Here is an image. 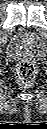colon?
<instances>
[{
	"label": "colon",
	"mask_w": 47,
	"mask_h": 129,
	"mask_svg": "<svg viewBox=\"0 0 47 129\" xmlns=\"http://www.w3.org/2000/svg\"><path fill=\"white\" fill-rule=\"evenodd\" d=\"M17 74L18 83L23 87H27L34 82L37 75V69L32 62L24 61L19 64Z\"/></svg>",
	"instance_id": "5ec220e1"
}]
</instances>
